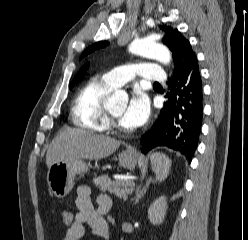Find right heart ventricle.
Wrapping results in <instances>:
<instances>
[{
    "mask_svg": "<svg viewBox=\"0 0 248 240\" xmlns=\"http://www.w3.org/2000/svg\"><path fill=\"white\" fill-rule=\"evenodd\" d=\"M113 88L99 78H93L83 86L73 103L74 125L91 131H104L107 128L104 100Z\"/></svg>",
    "mask_w": 248,
    "mask_h": 240,
    "instance_id": "e07e8e85",
    "label": "right heart ventricle"
}]
</instances>
